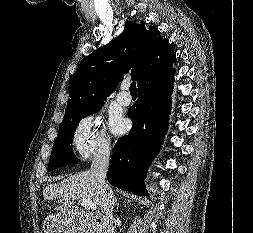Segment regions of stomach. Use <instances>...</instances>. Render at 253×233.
<instances>
[{"label": "stomach", "mask_w": 253, "mask_h": 233, "mask_svg": "<svg viewBox=\"0 0 253 233\" xmlns=\"http://www.w3.org/2000/svg\"><path fill=\"white\" fill-rule=\"evenodd\" d=\"M43 230L44 233H80L71 211L49 216L43 223Z\"/></svg>", "instance_id": "obj_1"}]
</instances>
